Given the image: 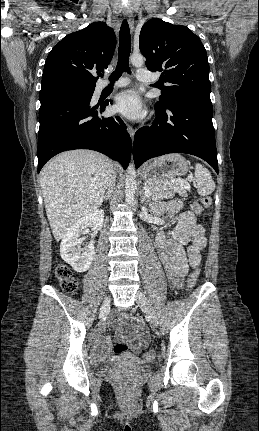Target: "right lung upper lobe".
Masks as SVG:
<instances>
[{"label": "right lung upper lobe", "instance_id": "cb5924a9", "mask_svg": "<svg viewBox=\"0 0 259 431\" xmlns=\"http://www.w3.org/2000/svg\"><path fill=\"white\" fill-rule=\"evenodd\" d=\"M116 47V36L104 22L65 36L50 51L42 75V89L57 83L95 89L93 72H104Z\"/></svg>", "mask_w": 259, "mask_h": 431}]
</instances>
